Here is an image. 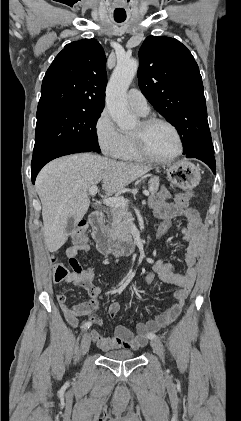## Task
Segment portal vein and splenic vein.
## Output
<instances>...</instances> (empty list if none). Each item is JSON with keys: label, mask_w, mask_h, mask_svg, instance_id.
<instances>
[{"label": "portal vein and splenic vein", "mask_w": 241, "mask_h": 421, "mask_svg": "<svg viewBox=\"0 0 241 421\" xmlns=\"http://www.w3.org/2000/svg\"><path fill=\"white\" fill-rule=\"evenodd\" d=\"M97 191H98V187L96 185H93L89 188V194L91 196H95ZM143 194L145 196H148L149 192L145 190V191H143ZM103 203L106 206H109V207H112V208H120V207L123 208V207L128 206L129 200L124 198V197H109V198L105 197L103 199Z\"/></svg>", "instance_id": "18ae733b"}]
</instances>
